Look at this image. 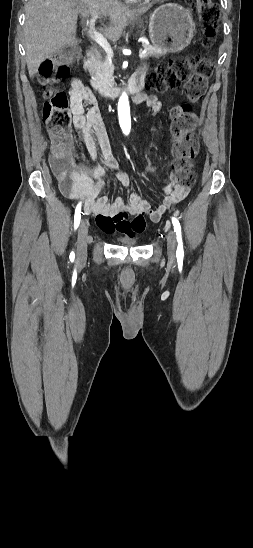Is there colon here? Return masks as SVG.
<instances>
[{
	"instance_id": "colon-1",
	"label": "colon",
	"mask_w": 253,
	"mask_h": 548,
	"mask_svg": "<svg viewBox=\"0 0 253 548\" xmlns=\"http://www.w3.org/2000/svg\"><path fill=\"white\" fill-rule=\"evenodd\" d=\"M200 18L204 32V45L211 46L217 33L219 11L212 0H187ZM76 56L75 49L55 58L43 61L39 67V84L45 99L43 120L52 138L51 167L60 180L66 184L75 172L72 160V142L69 135V100L61 89L69 75V63ZM212 62L209 59L189 56L170 59L160 64L147 77V85L158 92H165L181 84L188 99L179 111H176L171 124L174 138V155L171 175L181 184L191 186L196 175L192 170L191 159L198 151V142L193 134L197 124L194 106L206 94ZM144 169L151 176L156 175L157 166L150 161L144 162Z\"/></svg>"
}]
</instances>
